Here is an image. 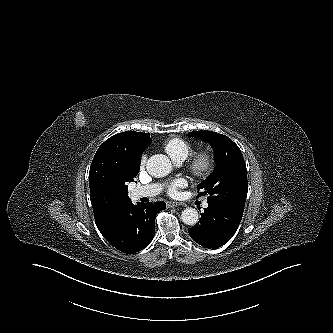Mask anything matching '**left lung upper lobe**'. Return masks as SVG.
<instances>
[{
	"label": "left lung upper lobe",
	"mask_w": 333,
	"mask_h": 333,
	"mask_svg": "<svg viewBox=\"0 0 333 333\" xmlns=\"http://www.w3.org/2000/svg\"><path fill=\"white\" fill-rule=\"evenodd\" d=\"M208 142L214 150L215 169L197 186L198 196L208 194L207 201H214L243 212L248 183L246 164L239 147L227 136L212 131L189 133Z\"/></svg>",
	"instance_id": "5c2ea615"
}]
</instances>
